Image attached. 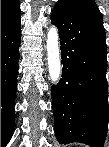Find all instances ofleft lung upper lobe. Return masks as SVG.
Returning a JSON list of instances; mask_svg holds the SVG:
<instances>
[{"label":"left lung upper lobe","instance_id":"left-lung-upper-lobe-1","mask_svg":"<svg viewBox=\"0 0 109 147\" xmlns=\"http://www.w3.org/2000/svg\"><path fill=\"white\" fill-rule=\"evenodd\" d=\"M56 5L64 6L78 15L87 18L95 24L103 27V18L94 0H59ZM66 84L70 89L79 88L80 77L77 73H69Z\"/></svg>","mask_w":109,"mask_h":147}]
</instances>
